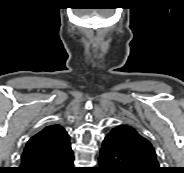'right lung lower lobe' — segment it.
<instances>
[{
	"label": "right lung lower lobe",
	"instance_id": "98d812e1",
	"mask_svg": "<svg viewBox=\"0 0 184 173\" xmlns=\"http://www.w3.org/2000/svg\"><path fill=\"white\" fill-rule=\"evenodd\" d=\"M72 149L57 157L21 165L17 173H78Z\"/></svg>",
	"mask_w": 184,
	"mask_h": 173
}]
</instances>
